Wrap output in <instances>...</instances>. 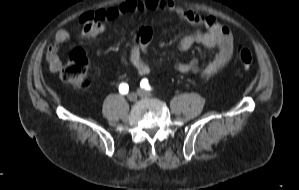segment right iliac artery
<instances>
[{
    "label": "right iliac artery",
    "mask_w": 299,
    "mask_h": 190,
    "mask_svg": "<svg viewBox=\"0 0 299 190\" xmlns=\"http://www.w3.org/2000/svg\"><path fill=\"white\" fill-rule=\"evenodd\" d=\"M129 91V86L127 83H121L119 86V92L121 94H127Z\"/></svg>",
    "instance_id": "82829eb1"
}]
</instances>
